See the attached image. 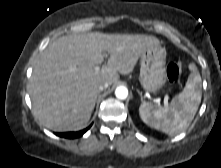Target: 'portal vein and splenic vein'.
<instances>
[{"label":"portal vein and splenic vein","mask_w":221,"mask_h":168,"mask_svg":"<svg viewBox=\"0 0 221 168\" xmlns=\"http://www.w3.org/2000/svg\"><path fill=\"white\" fill-rule=\"evenodd\" d=\"M95 69H96V70H99L100 67H99V66H96ZM164 105H165V106H168V100H167V99L164 100Z\"/></svg>","instance_id":"18ae733b"}]
</instances>
